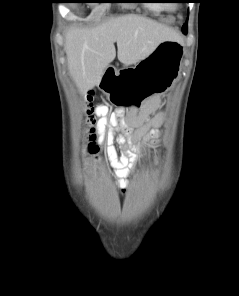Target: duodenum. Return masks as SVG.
Here are the masks:
<instances>
[{
    "label": "duodenum",
    "instance_id": "duodenum-1",
    "mask_svg": "<svg viewBox=\"0 0 239 296\" xmlns=\"http://www.w3.org/2000/svg\"><path fill=\"white\" fill-rule=\"evenodd\" d=\"M118 71L114 67H110L107 69L102 81L104 83H112L117 79Z\"/></svg>",
    "mask_w": 239,
    "mask_h": 296
}]
</instances>
